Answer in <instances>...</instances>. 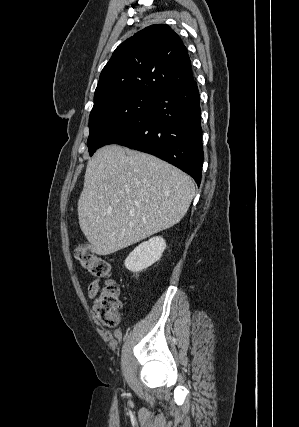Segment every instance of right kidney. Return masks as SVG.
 <instances>
[{
    "label": "right kidney",
    "instance_id": "right-kidney-1",
    "mask_svg": "<svg viewBox=\"0 0 299 427\" xmlns=\"http://www.w3.org/2000/svg\"><path fill=\"white\" fill-rule=\"evenodd\" d=\"M166 249L165 240L156 236L137 246L126 258L125 267L133 272H140L157 262Z\"/></svg>",
    "mask_w": 299,
    "mask_h": 427
}]
</instances>
